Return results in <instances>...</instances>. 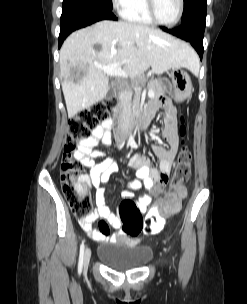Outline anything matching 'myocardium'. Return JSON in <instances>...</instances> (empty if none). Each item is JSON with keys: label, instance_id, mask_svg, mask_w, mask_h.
<instances>
[{"label": "myocardium", "instance_id": "f54148a6", "mask_svg": "<svg viewBox=\"0 0 247 304\" xmlns=\"http://www.w3.org/2000/svg\"><path fill=\"white\" fill-rule=\"evenodd\" d=\"M146 2V9L148 12L149 17L151 18V20L160 25V26H164V27H173L176 24H178L183 16L184 13V7H185V1L184 0H179V12L177 17L175 18L174 21L169 22V23H165L159 20V18L156 15V11H155V0H145Z\"/></svg>", "mask_w": 247, "mask_h": 304}]
</instances>
